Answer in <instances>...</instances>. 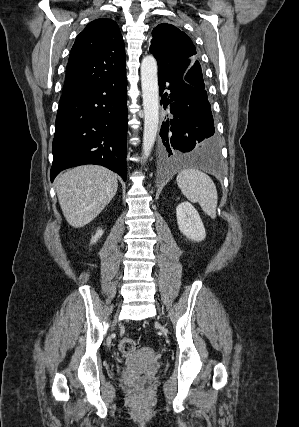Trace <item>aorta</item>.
<instances>
[{
  "label": "aorta",
  "instance_id": "aorta-1",
  "mask_svg": "<svg viewBox=\"0 0 299 427\" xmlns=\"http://www.w3.org/2000/svg\"><path fill=\"white\" fill-rule=\"evenodd\" d=\"M141 86L144 109L142 152L143 158L147 159L154 146L159 126L157 62L151 55L144 57L141 63Z\"/></svg>",
  "mask_w": 299,
  "mask_h": 427
}]
</instances>
